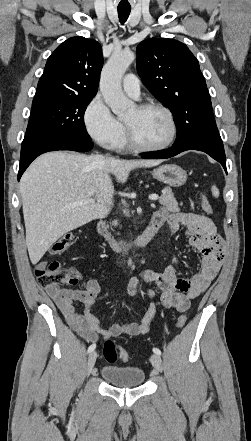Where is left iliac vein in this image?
<instances>
[{
  "label": "left iliac vein",
  "instance_id": "4c4485c4",
  "mask_svg": "<svg viewBox=\"0 0 251 441\" xmlns=\"http://www.w3.org/2000/svg\"><path fill=\"white\" fill-rule=\"evenodd\" d=\"M150 361H151L153 367H154L158 372H162V370H163V363H162V359H161V357H160L159 355H157V354H153V355L151 356Z\"/></svg>",
  "mask_w": 251,
  "mask_h": 441
}]
</instances>
